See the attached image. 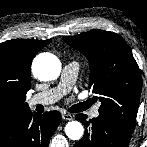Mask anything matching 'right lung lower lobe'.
<instances>
[{
    "label": "right lung lower lobe",
    "mask_w": 147,
    "mask_h": 147,
    "mask_svg": "<svg viewBox=\"0 0 147 147\" xmlns=\"http://www.w3.org/2000/svg\"><path fill=\"white\" fill-rule=\"evenodd\" d=\"M60 121L58 111H26L0 126V147H48Z\"/></svg>",
    "instance_id": "98d812e1"
}]
</instances>
